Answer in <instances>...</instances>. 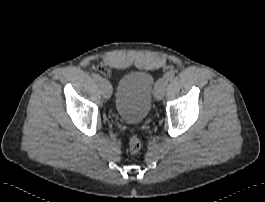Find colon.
I'll return each instance as SVG.
<instances>
[{
	"mask_svg": "<svg viewBox=\"0 0 265 202\" xmlns=\"http://www.w3.org/2000/svg\"><path fill=\"white\" fill-rule=\"evenodd\" d=\"M141 149V141L137 136H132L129 140V150L132 153H137Z\"/></svg>",
	"mask_w": 265,
	"mask_h": 202,
	"instance_id": "5ec220e1",
	"label": "colon"
}]
</instances>
